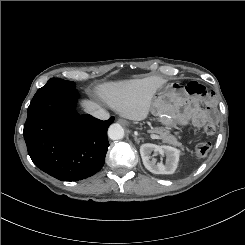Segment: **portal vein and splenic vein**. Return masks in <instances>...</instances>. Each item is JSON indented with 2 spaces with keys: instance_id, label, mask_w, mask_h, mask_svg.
Instances as JSON below:
<instances>
[{
  "instance_id": "18ae733b",
  "label": "portal vein and splenic vein",
  "mask_w": 245,
  "mask_h": 245,
  "mask_svg": "<svg viewBox=\"0 0 245 245\" xmlns=\"http://www.w3.org/2000/svg\"><path fill=\"white\" fill-rule=\"evenodd\" d=\"M151 138L152 139H159V136L158 135H155V134H151Z\"/></svg>"
}]
</instances>
